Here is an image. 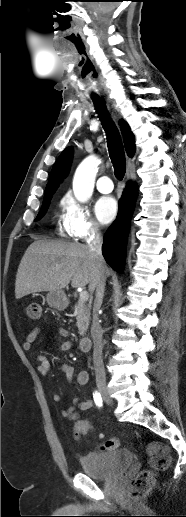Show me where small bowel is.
Segmentation results:
<instances>
[{"label": "small bowel", "mask_w": 186, "mask_h": 517, "mask_svg": "<svg viewBox=\"0 0 186 517\" xmlns=\"http://www.w3.org/2000/svg\"><path fill=\"white\" fill-rule=\"evenodd\" d=\"M41 331V328H35L27 335L22 344V347L25 351H29L31 349L33 342L36 340ZM58 334L61 337H66L68 335V332L64 329H59ZM71 348V342L65 341L58 345L57 350L65 352L69 351ZM36 361L38 364V372L42 375L47 374L50 369V363L46 356L38 355L36 357ZM58 369L65 375L68 382H72L75 379L78 385L83 386L86 385L89 381V372L87 370H81L75 375L74 368L69 364H60ZM52 398L55 402H59L61 400V395L59 393H54ZM73 404L74 406H71L63 410L62 415L70 420L75 421L74 431L77 430L78 436L84 435L92 429V425L88 421L79 420L78 415L79 412L89 410L92 407L93 403L90 399L80 400L77 398L73 400ZM75 406H77V409Z\"/></svg>", "instance_id": "1"}]
</instances>
